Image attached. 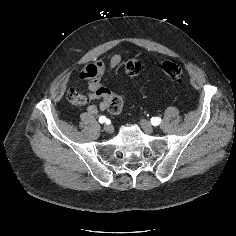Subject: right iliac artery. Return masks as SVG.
<instances>
[{
    "instance_id": "1",
    "label": "right iliac artery",
    "mask_w": 236,
    "mask_h": 236,
    "mask_svg": "<svg viewBox=\"0 0 236 236\" xmlns=\"http://www.w3.org/2000/svg\"><path fill=\"white\" fill-rule=\"evenodd\" d=\"M107 121V118L105 117V116H101L100 118H99V122L100 123H104V122H106Z\"/></svg>"
}]
</instances>
